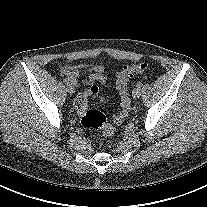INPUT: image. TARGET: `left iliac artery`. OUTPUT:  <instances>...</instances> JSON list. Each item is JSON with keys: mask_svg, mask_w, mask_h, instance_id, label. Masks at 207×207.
<instances>
[{"mask_svg": "<svg viewBox=\"0 0 207 207\" xmlns=\"http://www.w3.org/2000/svg\"><path fill=\"white\" fill-rule=\"evenodd\" d=\"M137 87H138V88H141V87H142V83H141V82H138V83H137Z\"/></svg>", "mask_w": 207, "mask_h": 207, "instance_id": "44dca946", "label": "left iliac artery"}]
</instances>
